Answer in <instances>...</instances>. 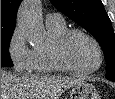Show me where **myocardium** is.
Here are the masks:
<instances>
[{"label":"myocardium","instance_id":"myocardium-1","mask_svg":"<svg viewBox=\"0 0 115 99\" xmlns=\"http://www.w3.org/2000/svg\"><path fill=\"white\" fill-rule=\"evenodd\" d=\"M82 35L86 37L95 47L97 51V56H98V61L97 64L89 69H78L73 66H71L64 58L63 50L66 42L68 39L73 36V35ZM51 58L56 65V67L65 72H69L72 74H77V75H89L92 73H95L98 71L104 60V55H103V50L100 45V43L97 41V39L91 35L89 32L83 30V29H78V28H73V29H67L65 32H63L53 43L52 48H51Z\"/></svg>","mask_w":115,"mask_h":99}]
</instances>
